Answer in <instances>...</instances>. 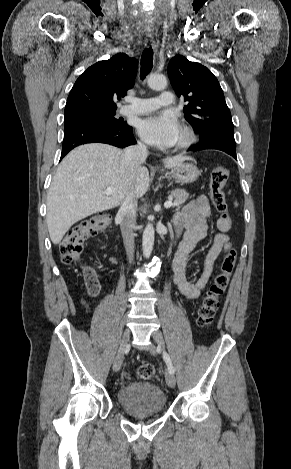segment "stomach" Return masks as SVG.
Masks as SVG:
<instances>
[{"label": "stomach", "instance_id": "stomach-1", "mask_svg": "<svg viewBox=\"0 0 291 469\" xmlns=\"http://www.w3.org/2000/svg\"><path fill=\"white\" fill-rule=\"evenodd\" d=\"M200 173V170L194 163H182L173 168L171 172H167L166 175L178 183H192L197 180Z\"/></svg>", "mask_w": 291, "mask_h": 469}]
</instances>
